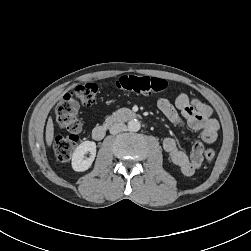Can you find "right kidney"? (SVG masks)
Returning <instances> with one entry per match:
<instances>
[{"instance_id": "ca27d5eb", "label": "right kidney", "mask_w": 251, "mask_h": 251, "mask_svg": "<svg viewBox=\"0 0 251 251\" xmlns=\"http://www.w3.org/2000/svg\"><path fill=\"white\" fill-rule=\"evenodd\" d=\"M90 152V157L85 154ZM96 155V143L93 141L82 142L72 155V168L77 172L86 171L93 163Z\"/></svg>"}]
</instances>
